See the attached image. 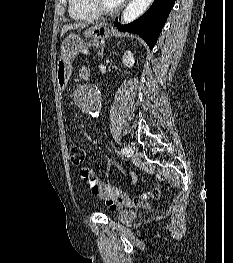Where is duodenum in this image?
Returning <instances> with one entry per match:
<instances>
[{
  "mask_svg": "<svg viewBox=\"0 0 233 263\" xmlns=\"http://www.w3.org/2000/svg\"><path fill=\"white\" fill-rule=\"evenodd\" d=\"M80 77H81L83 80H88L89 77H90V72H89V70L83 71V72L80 74Z\"/></svg>",
  "mask_w": 233,
  "mask_h": 263,
  "instance_id": "410a0bca",
  "label": "duodenum"
}]
</instances>
